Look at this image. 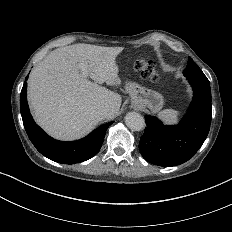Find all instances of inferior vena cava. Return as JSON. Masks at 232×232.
<instances>
[{
	"instance_id": "inferior-vena-cava-1",
	"label": "inferior vena cava",
	"mask_w": 232,
	"mask_h": 232,
	"mask_svg": "<svg viewBox=\"0 0 232 232\" xmlns=\"http://www.w3.org/2000/svg\"><path fill=\"white\" fill-rule=\"evenodd\" d=\"M99 113L102 115V116H106L107 114L110 113V108L109 106H104L102 107L100 110H99Z\"/></svg>"
}]
</instances>
